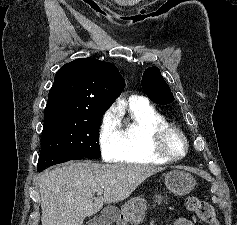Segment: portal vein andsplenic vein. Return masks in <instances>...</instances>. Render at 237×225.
Listing matches in <instances>:
<instances>
[{
    "mask_svg": "<svg viewBox=\"0 0 237 225\" xmlns=\"http://www.w3.org/2000/svg\"><path fill=\"white\" fill-rule=\"evenodd\" d=\"M102 194H103V189H101L97 192V196H101Z\"/></svg>",
    "mask_w": 237,
    "mask_h": 225,
    "instance_id": "obj_1",
    "label": "portal vein and splenic vein"
}]
</instances>
